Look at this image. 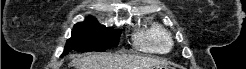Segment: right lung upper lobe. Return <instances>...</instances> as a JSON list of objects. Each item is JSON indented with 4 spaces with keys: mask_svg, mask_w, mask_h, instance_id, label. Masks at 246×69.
<instances>
[{
    "mask_svg": "<svg viewBox=\"0 0 246 69\" xmlns=\"http://www.w3.org/2000/svg\"><path fill=\"white\" fill-rule=\"evenodd\" d=\"M88 21H96V19L94 17L90 16L84 22H88Z\"/></svg>",
    "mask_w": 246,
    "mask_h": 69,
    "instance_id": "right-lung-upper-lobe-1",
    "label": "right lung upper lobe"
}]
</instances>
